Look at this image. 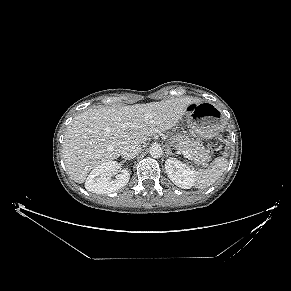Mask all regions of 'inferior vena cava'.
<instances>
[{"label": "inferior vena cava", "instance_id": "602c4592", "mask_svg": "<svg viewBox=\"0 0 291 291\" xmlns=\"http://www.w3.org/2000/svg\"><path fill=\"white\" fill-rule=\"evenodd\" d=\"M141 152V145L127 144L122 147L121 155L126 160L134 159Z\"/></svg>", "mask_w": 291, "mask_h": 291}]
</instances>
